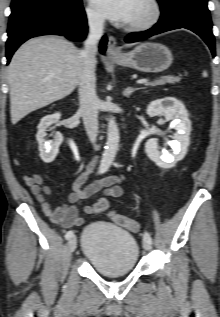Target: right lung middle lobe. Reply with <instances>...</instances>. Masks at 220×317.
<instances>
[{"label": "right lung middle lobe", "mask_w": 220, "mask_h": 317, "mask_svg": "<svg viewBox=\"0 0 220 317\" xmlns=\"http://www.w3.org/2000/svg\"><path fill=\"white\" fill-rule=\"evenodd\" d=\"M82 6L81 0H12V13L34 7H51L64 10H76Z\"/></svg>", "instance_id": "1"}]
</instances>
